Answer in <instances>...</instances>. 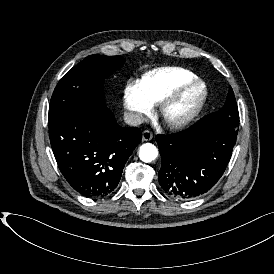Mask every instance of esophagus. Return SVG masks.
I'll return each mask as SVG.
<instances>
[{
	"instance_id": "1",
	"label": "esophagus",
	"mask_w": 274,
	"mask_h": 274,
	"mask_svg": "<svg viewBox=\"0 0 274 274\" xmlns=\"http://www.w3.org/2000/svg\"><path fill=\"white\" fill-rule=\"evenodd\" d=\"M153 138V134L149 130H145L142 133V140L143 141H150Z\"/></svg>"
}]
</instances>
